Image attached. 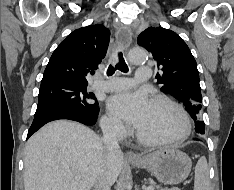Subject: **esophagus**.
Wrapping results in <instances>:
<instances>
[{
	"mask_svg": "<svg viewBox=\"0 0 234 190\" xmlns=\"http://www.w3.org/2000/svg\"><path fill=\"white\" fill-rule=\"evenodd\" d=\"M117 43L123 48L127 49L132 42L131 29L128 26L121 27L116 33ZM126 157L129 159H138V156L132 151L126 153Z\"/></svg>",
	"mask_w": 234,
	"mask_h": 190,
	"instance_id": "34e87169",
	"label": "esophagus"
}]
</instances>
